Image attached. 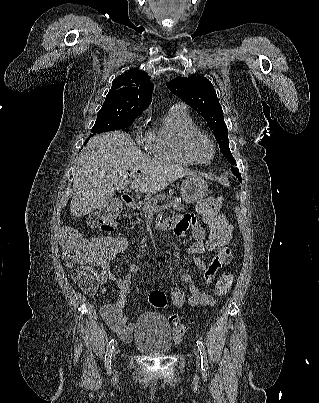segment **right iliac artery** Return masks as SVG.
I'll return each instance as SVG.
<instances>
[{"label":"right iliac artery","mask_w":319,"mask_h":403,"mask_svg":"<svg viewBox=\"0 0 319 403\" xmlns=\"http://www.w3.org/2000/svg\"><path fill=\"white\" fill-rule=\"evenodd\" d=\"M115 339L112 338L108 344L106 355H105V367L106 369L110 370L111 369V358H112V353L113 349L115 346Z\"/></svg>","instance_id":"right-iliac-artery-1"}]
</instances>
